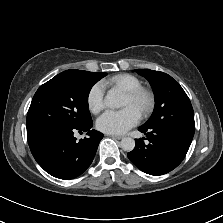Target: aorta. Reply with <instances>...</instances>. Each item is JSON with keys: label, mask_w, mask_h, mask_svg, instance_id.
<instances>
[{"label": "aorta", "mask_w": 223, "mask_h": 223, "mask_svg": "<svg viewBox=\"0 0 223 223\" xmlns=\"http://www.w3.org/2000/svg\"><path fill=\"white\" fill-rule=\"evenodd\" d=\"M105 104L109 108H119L124 106L123 99L114 89L105 97ZM120 144L121 148L127 152L132 151L135 147V141L131 137H123Z\"/></svg>", "instance_id": "obj_1"}]
</instances>
